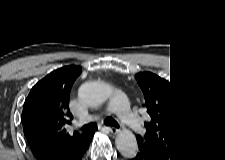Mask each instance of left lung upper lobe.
<instances>
[{
    "label": "left lung upper lobe",
    "instance_id": "obj_1",
    "mask_svg": "<svg viewBox=\"0 0 225 160\" xmlns=\"http://www.w3.org/2000/svg\"><path fill=\"white\" fill-rule=\"evenodd\" d=\"M136 79L151 117L144 124L146 134L137 136L138 146L172 160L190 125V104L176 85L151 72L138 73Z\"/></svg>",
    "mask_w": 225,
    "mask_h": 160
}]
</instances>
